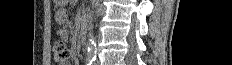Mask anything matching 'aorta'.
Listing matches in <instances>:
<instances>
[{
  "instance_id": "762f6f07",
  "label": "aorta",
  "mask_w": 232,
  "mask_h": 65,
  "mask_svg": "<svg viewBox=\"0 0 232 65\" xmlns=\"http://www.w3.org/2000/svg\"><path fill=\"white\" fill-rule=\"evenodd\" d=\"M100 0H91V10L88 14V41H87V55L89 57H95L96 55V41L93 34V19L95 15V10L99 7Z\"/></svg>"
}]
</instances>
